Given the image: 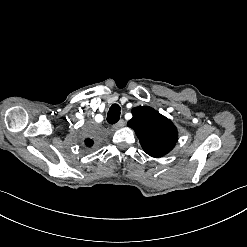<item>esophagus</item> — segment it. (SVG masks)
I'll use <instances>...</instances> for the list:
<instances>
[{"instance_id": "obj_1", "label": "esophagus", "mask_w": 247, "mask_h": 247, "mask_svg": "<svg viewBox=\"0 0 247 247\" xmlns=\"http://www.w3.org/2000/svg\"><path fill=\"white\" fill-rule=\"evenodd\" d=\"M125 125V121L123 119L119 120V122H117L114 127L115 128H121Z\"/></svg>"}]
</instances>
